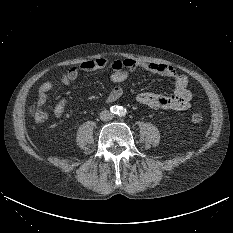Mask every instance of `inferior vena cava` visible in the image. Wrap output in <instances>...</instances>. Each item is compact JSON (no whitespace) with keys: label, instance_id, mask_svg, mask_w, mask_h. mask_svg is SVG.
<instances>
[{"label":"inferior vena cava","instance_id":"1","mask_svg":"<svg viewBox=\"0 0 233 233\" xmlns=\"http://www.w3.org/2000/svg\"><path fill=\"white\" fill-rule=\"evenodd\" d=\"M113 117H114V114L108 110H104L100 113V119L103 121L112 120Z\"/></svg>","mask_w":233,"mask_h":233}]
</instances>
